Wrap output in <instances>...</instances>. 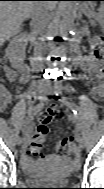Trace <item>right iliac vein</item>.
Returning <instances> with one entry per match:
<instances>
[{
  "instance_id": "1",
  "label": "right iliac vein",
  "mask_w": 104,
  "mask_h": 189,
  "mask_svg": "<svg viewBox=\"0 0 104 189\" xmlns=\"http://www.w3.org/2000/svg\"><path fill=\"white\" fill-rule=\"evenodd\" d=\"M48 92H49L48 90L40 91L39 92V95H40L39 98L40 99H45V96L48 94ZM16 143H17L18 146H21L23 141H22V139L20 137H18L17 140H16Z\"/></svg>"
}]
</instances>
